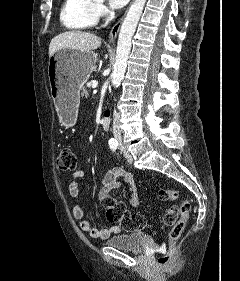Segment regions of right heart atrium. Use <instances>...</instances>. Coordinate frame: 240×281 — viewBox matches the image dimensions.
<instances>
[{
    "instance_id": "1",
    "label": "right heart atrium",
    "mask_w": 240,
    "mask_h": 281,
    "mask_svg": "<svg viewBox=\"0 0 240 281\" xmlns=\"http://www.w3.org/2000/svg\"><path fill=\"white\" fill-rule=\"evenodd\" d=\"M97 12L99 16H105L108 14V10L105 6L99 5L97 8Z\"/></svg>"
}]
</instances>
